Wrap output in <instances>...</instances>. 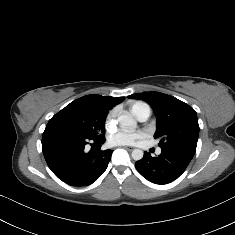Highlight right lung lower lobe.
Segmentation results:
<instances>
[{
  "instance_id": "obj_1",
  "label": "right lung lower lobe",
  "mask_w": 235,
  "mask_h": 235,
  "mask_svg": "<svg viewBox=\"0 0 235 235\" xmlns=\"http://www.w3.org/2000/svg\"><path fill=\"white\" fill-rule=\"evenodd\" d=\"M103 139L89 138L73 129L48 123L42 137V149L51 171L72 186H88L106 170L112 150L96 148ZM92 143V149L85 146Z\"/></svg>"
}]
</instances>
